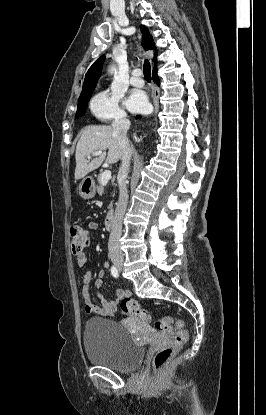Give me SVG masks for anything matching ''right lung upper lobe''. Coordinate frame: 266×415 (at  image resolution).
I'll return each mask as SVG.
<instances>
[{"mask_svg": "<svg viewBox=\"0 0 266 415\" xmlns=\"http://www.w3.org/2000/svg\"><path fill=\"white\" fill-rule=\"evenodd\" d=\"M141 31H142V46L145 50L148 49H154V42L152 39V36L149 34L148 29L141 25ZM157 52L154 53V56L156 57ZM105 56L99 57L89 68V70L86 73L83 88L81 92V96L86 95L88 93L93 92L95 85L100 77L102 65L104 63ZM156 70V67L153 69V71Z\"/></svg>", "mask_w": 266, "mask_h": 415, "instance_id": "obj_1", "label": "right lung upper lobe"}]
</instances>
